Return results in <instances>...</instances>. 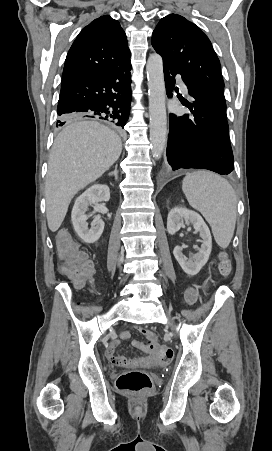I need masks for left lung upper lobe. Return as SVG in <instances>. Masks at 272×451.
Wrapping results in <instances>:
<instances>
[{
    "label": "left lung upper lobe",
    "mask_w": 272,
    "mask_h": 451,
    "mask_svg": "<svg viewBox=\"0 0 272 451\" xmlns=\"http://www.w3.org/2000/svg\"><path fill=\"white\" fill-rule=\"evenodd\" d=\"M152 46L188 83L226 108L219 59L208 37L194 23L178 14L162 18L153 31Z\"/></svg>",
    "instance_id": "5c2ea615"
}]
</instances>
